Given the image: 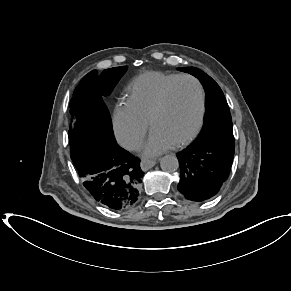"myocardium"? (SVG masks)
Here are the masks:
<instances>
[{"label":"myocardium","mask_w":291,"mask_h":291,"mask_svg":"<svg viewBox=\"0 0 291 291\" xmlns=\"http://www.w3.org/2000/svg\"><path fill=\"white\" fill-rule=\"evenodd\" d=\"M181 80H191L196 84V86L199 90V96H200V109H199L198 121H197L195 128L192 130V132L188 136H186L185 138H183L182 140L177 142L174 145L175 148H180L182 146L189 144L191 141H193L196 138V136L199 134V132L201 131V129L203 127L205 114H206V94H205V89H204L202 83L200 82V80L197 79L195 76H192L189 74L178 75L176 78H174L163 89V91L160 95V98H159L156 106L152 110V112L149 116V120H148L149 126L152 129L155 119L163 112V110L167 106L168 97H169L171 90Z\"/></svg>","instance_id":"obj_1"}]
</instances>
